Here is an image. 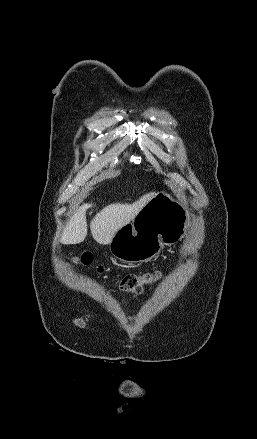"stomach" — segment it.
Returning <instances> with one entry per match:
<instances>
[{
  "label": "stomach",
  "mask_w": 257,
  "mask_h": 439,
  "mask_svg": "<svg viewBox=\"0 0 257 439\" xmlns=\"http://www.w3.org/2000/svg\"><path fill=\"white\" fill-rule=\"evenodd\" d=\"M190 225L191 214L186 203L167 192H159L114 234L109 243L110 252L126 263L150 261L163 245L181 240Z\"/></svg>",
  "instance_id": "0dacf381"
}]
</instances>
